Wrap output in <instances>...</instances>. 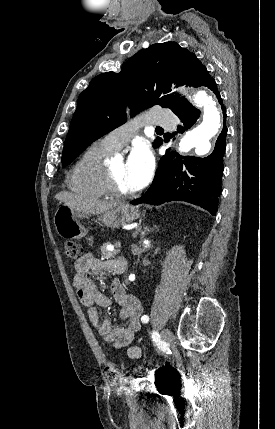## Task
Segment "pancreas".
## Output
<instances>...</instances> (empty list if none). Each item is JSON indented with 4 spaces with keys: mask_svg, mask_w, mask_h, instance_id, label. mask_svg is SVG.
I'll use <instances>...</instances> for the list:
<instances>
[{
    "mask_svg": "<svg viewBox=\"0 0 275 429\" xmlns=\"http://www.w3.org/2000/svg\"><path fill=\"white\" fill-rule=\"evenodd\" d=\"M108 245L109 243H105L101 246V253L104 258L111 259L114 258L120 252V249L116 247V249L110 251L107 248Z\"/></svg>",
    "mask_w": 275,
    "mask_h": 429,
    "instance_id": "pancreas-1",
    "label": "pancreas"
}]
</instances>
